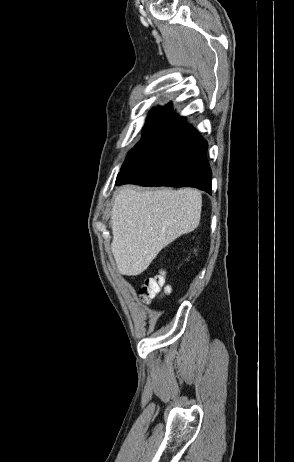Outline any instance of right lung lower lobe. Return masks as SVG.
I'll list each match as a JSON object with an SVG mask.
<instances>
[{
    "mask_svg": "<svg viewBox=\"0 0 294 462\" xmlns=\"http://www.w3.org/2000/svg\"><path fill=\"white\" fill-rule=\"evenodd\" d=\"M206 153L207 142L180 117L119 172L116 185L191 186L211 194Z\"/></svg>",
    "mask_w": 294,
    "mask_h": 462,
    "instance_id": "98d812e1",
    "label": "right lung lower lobe"
}]
</instances>
